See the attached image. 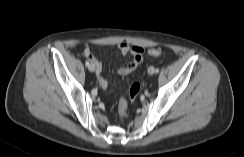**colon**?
I'll list each match as a JSON object with an SVG mask.
<instances>
[{
	"label": "colon",
	"instance_id": "1",
	"mask_svg": "<svg viewBox=\"0 0 244 157\" xmlns=\"http://www.w3.org/2000/svg\"><path fill=\"white\" fill-rule=\"evenodd\" d=\"M148 54L154 57L161 56L163 51L160 48H153L148 51ZM143 58V57H142ZM141 86L139 83H133L129 89V97L130 100L133 102L140 92ZM128 107V102L125 99H122L119 103V115L121 117L126 116V111Z\"/></svg>",
	"mask_w": 244,
	"mask_h": 157
}]
</instances>
